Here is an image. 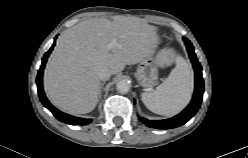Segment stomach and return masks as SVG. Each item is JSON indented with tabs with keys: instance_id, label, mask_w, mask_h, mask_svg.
<instances>
[{
	"instance_id": "1",
	"label": "stomach",
	"mask_w": 248,
	"mask_h": 158,
	"mask_svg": "<svg viewBox=\"0 0 248 158\" xmlns=\"http://www.w3.org/2000/svg\"><path fill=\"white\" fill-rule=\"evenodd\" d=\"M168 63V54L161 55L159 59L153 57L143 59L135 72L138 83L146 90L151 89L158 82V67Z\"/></svg>"
}]
</instances>
